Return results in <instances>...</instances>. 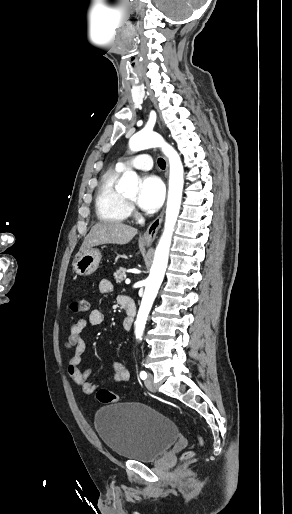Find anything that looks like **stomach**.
<instances>
[{"label":"stomach","instance_id":"0dacf381","mask_svg":"<svg viewBox=\"0 0 292 514\" xmlns=\"http://www.w3.org/2000/svg\"><path fill=\"white\" fill-rule=\"evenodd\" d=\"M143 244L149 246L152 242H143ZM101 258L102 256L99 250H95V248L82 250V252H78V254L74 256L72 268L78 276H91L93 272H96Z\"/></svg>","mask_w":292,"mask_h":514}]
</instances>
